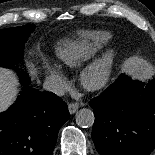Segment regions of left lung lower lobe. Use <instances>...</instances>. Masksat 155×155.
<instances>
[{"mask_svg":"<svg viewBox=\"0 0 155 155\" xmlns=\"http://www.w3.org/2000/svg\"><path fill=\"white\" fill-rule=\"evenodd\" d=\"M92 139L101 155H149L155 148V78L145 84L122 74L90 101Z\"/></svg>","mask_w":155,"mask_h":155,"instance_id":"1","label":"left lung lower lobe"}]
</instances>
